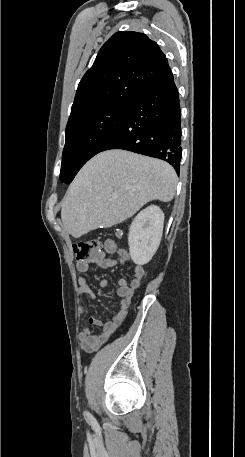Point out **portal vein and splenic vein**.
<instances>
[{"instance_id":"1","label":"portal vein and splenic vein","mask_w":245,"mask_h":457,"mask_svg":"<svg viewBox=\"0 0 245 457\" xmlns=\"http://www.w3.org/2000/svg\"><path fill=\"white\" fill-rule=\"evenodd\" d=\"M112 198H116V196H112Z\"/></svg>"}]
</instances>
